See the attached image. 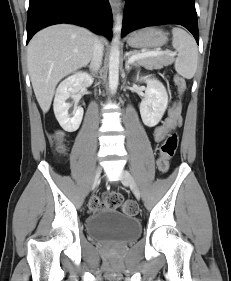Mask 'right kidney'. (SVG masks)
<instances>
[{"mask_svg":"<svg viewBox=\"0 0 231 281\" xmlns=\"http://www.w3.org/2000/svg\"><path fill=\"white\" fill-rule=\"evenodd\" d=\"M93 79L86 72H77L63 80L57 87L54 98V114L61 127L67 132L76 131L83 118V108L77 106L80 99L78 94L82 87L90 86ZM72 96L76 104L72 115H69L68 110L71 106L66 100Z\"/></svg>","mask_w":231,"mask_h":281,"instance_id":"1","label":"right kidney"}]
</instances>
